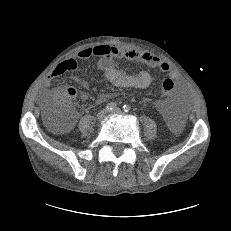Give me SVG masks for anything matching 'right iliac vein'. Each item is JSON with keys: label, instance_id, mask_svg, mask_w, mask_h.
<instances>
[{"label": "right iliac vein", "instance_id": "right-iliac-vein-1", "mask_svg": "<svg viewBox=\"0 0 231 231\" xmlns=\"http://www.w3.org/2000/svg\"><path fill=\"white\" fill-rule=\"evenodd\" d=\"M106 113V110H101L96 116L97 120H102L105 117Z\"/></svg>", "mask_w": 231, "mask_h": 231}]
</instances>
